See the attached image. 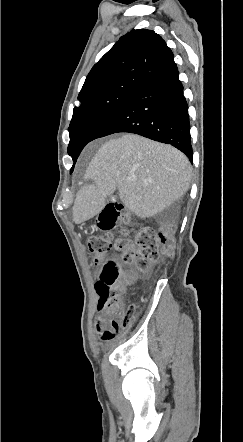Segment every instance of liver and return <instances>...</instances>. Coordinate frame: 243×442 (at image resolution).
<instances>
[{"label":"liver","instance_id":"1","mask_svg":"<svg viewBox=\"0 0 243 442\" xmlns=\"http://www.w3.org/2000/svg\"><path fill=\"white\" fill-rule=\"evenodd\" d=\"M135 179H128L131 176ZM192 168L176 148L134 134L105 142L84 175L95 184L84 185L76 195L73 221L83 223L99 214L109 193L140 218L153 217L179 200L189 189Z\"/></svg>","mask_w":243,"mask_h":442}]
</instances>
